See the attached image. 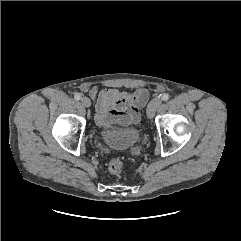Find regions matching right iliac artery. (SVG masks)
Returning <instances> with one entry per match:
<instances>
[{"instance_id": "1", "label": "right iliac artery", "mask_w": 241, "mask_h": 241, "mask_svg": "<svg viewBox=\"0 0 241 241\" xmlns=\"http://www.w3.org/2000/svg\"><path fill=\"white\" fill-rule=\"evenodd\" d=\"M75 100H80L81 99V95L79 93L74 95Z\"/></svg>"}]
</instances>
